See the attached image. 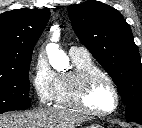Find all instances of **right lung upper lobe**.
Listing matches in <instances>:
<instances>
[{
  "label": "right lung upper lobe",
  "instance_id": "obj_1",
  "mask_svg": "<svg viewBox=\"0 0 142 128\" xmlns=\"http://www.w3.org/2000/svg\"><path fill=\"white\" fill-rule=\"evenodd\" d=\"M50 12L47 9H15L0 15V72L16 69L31 60Z\"/></svg>",
  "mask_w": 142,
  "mask_h": 128
}]
</instances>
